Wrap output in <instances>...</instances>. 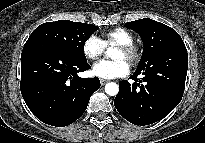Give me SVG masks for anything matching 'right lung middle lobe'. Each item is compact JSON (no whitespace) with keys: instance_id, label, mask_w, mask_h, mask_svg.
Here are the masks:
<instances>
[{"instance_id":"obj_1","label":"right lung middle lobe","mask_w":205,"mask_h":143,"mask_svg":"<svg viewBox=\"0 0 205 143\" xmlns=\"http://www.w3.org/2000/svg\"><path fill=\"white\" fill-rule=\"evenodd\" d=\"M99 27L91 24L59 20L38 26L29 38H38L61 48L67 54L86 61L84 43Z\"/></svg>"}]
</instances>
